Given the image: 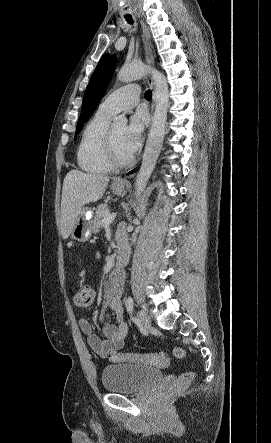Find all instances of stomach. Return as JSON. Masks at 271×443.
Here are the masks:
<instances>
[{
    "label": "stomach",
    "mask_w": 271,
    "mask_h": 443,
    "mask_svg": "<svg viewBox=\"0 0 271 443\" xmlns=\"http://www.w3.org/2000/svg\"><path fill=\"white\" fill-rule=\"evenodd\" d=\"M118 182H122V180H114L111 190L116 196H124V194H126L124 184H127V182H122V186H116ZM92 216L93 212H91V210H86V212L80 214L70 233L72 239H77V241H87V239H90L93 231L91 222Z\"/></svg>",
    "instance_id": "stomach-1"
}]
</instances>
